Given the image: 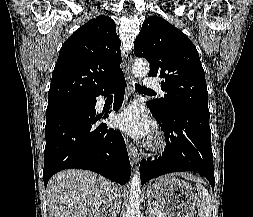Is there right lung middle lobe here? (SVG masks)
Returning a JSON list of instances; mask_svg holds the SVG:
<instances>
[{"mask_svg": "<svg viewBox=\"0 0 253 217\" xmlns=\"http://www.w3.org/2000/svg\"><path fill=\"white\" fill-rule=\"evenodd\" d=\"M89 98H72V99H66V100H60V101H54V102H48L47 110H52L59 108L64 105L68 104H75V103H82L88 101Z\"/></svg>", "mask_w": 253, "mask_h": 217, "instance_id": "right-lung-middle-lobe-1", "label": "right lung middle lobe"}]
</instances>
